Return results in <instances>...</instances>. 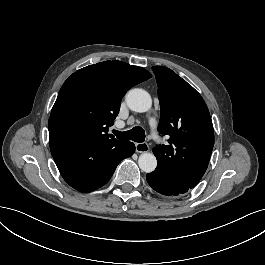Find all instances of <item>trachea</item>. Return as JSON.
<instances>
[{
  "label": "trachea",
  "instance_id": "1",
  "mask_svg": "<svg viewBox=\"0 0 265 265\" xmlns=\"http://www.w3.org/2000/svg\"><path fill=\"white\" fill-rule=\"evenodd\" d=\"M118 139L132 140L137 143H142L145 140V131L140 127L136 126L133 129L125 132L118 130L112 131Z\"/></svg>",
  "mask_w": 265,
  "mask_h": 265
}]
</instances>
